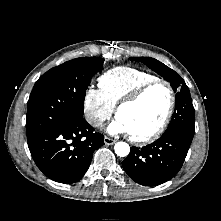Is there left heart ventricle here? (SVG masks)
Segmentation results:
<instances>
[{
	"label": "left heart ventricle",
	"mask_w": 221,
	"mask_h": 221,
	"mask_svg": "<svg viewBox=\"0 0 221 221\" xmlns=\"http://www.w3.org/2000/svg\"><path fill=\"white\" fill-rule=\"evenodd\" d=\"M169 99L166 86L155 85L137 103L123 108L118 118L133 136L148 135L157 129L164 119Z\"/></svg>",
	"instance_id": "b2bd125f"
}]
</instances>
